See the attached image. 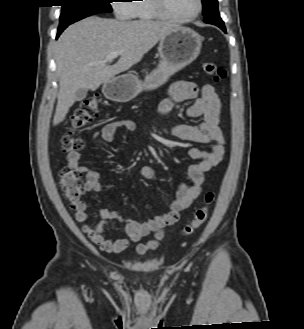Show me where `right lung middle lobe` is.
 <instances>
[{
	"label": "right lung middle lobe",
	"instance_id": "obj_1",
	"mask_svg": "<svg viewBox=\"0 0 304 329\" xmlns=\"http://www.w3.org/2000/svg\"><path fill=\"white\" fill-rule=\"evenodd\" d=\"M62 9L59 28H66L68 25L85 17L102 12H111L110 0H61Z\"/></svg>",
	"mask_w": 304,
	"mask_h": 329
}]
</instances>
